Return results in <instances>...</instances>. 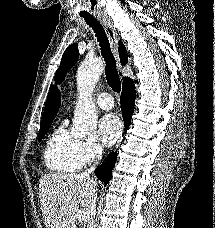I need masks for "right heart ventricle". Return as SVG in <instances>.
<instances>
[{"label":"right heart ventricle","instance_id":"obj_1","mask_svg":"<svg viewBox=\"0 0 215 228\" xmlns=\"http://www.w3.org/2000/svg\"><path fill=\"white\" fill-rule=\"evenodd\" d=\"M82 141L70 132L67 122L59 123L49 134L44 148L46 167L56 173H71L82 166Z\"/></svg>","mask_w":215,"mask_h":228}]
</instances>
